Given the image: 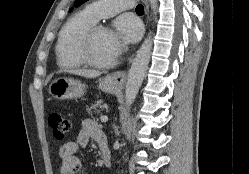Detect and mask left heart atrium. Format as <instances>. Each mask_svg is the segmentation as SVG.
I'll list each match as a JSON object with an SVG mask.
<instances>
[{"mask_svg": "<svg viewBox=\"0 0 249 174\" xmlns=\"http://www.w3.org/2000/svg\"><path fill=\"white\" fill-rule=\"evenodd\" d=\"M112 34L117 56L121 52L124 43L135 42L139 38L141 28L136 20L125 17L116 22V27Z\"/></svg>", "mask_w": 249, "mask_h": 174, "instance_id": "obj_1", "label": "left heart atrium"}]
</instances>
